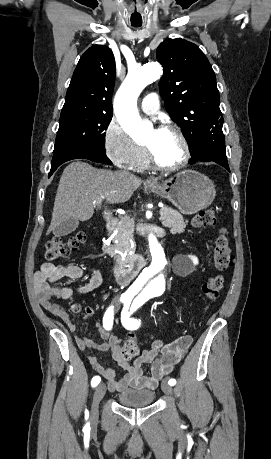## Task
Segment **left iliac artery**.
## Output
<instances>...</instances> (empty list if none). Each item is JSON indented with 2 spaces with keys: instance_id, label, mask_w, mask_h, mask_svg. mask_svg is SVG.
<instances>
[{
  "instance_id": "1",
  "label": "left iliac artery",
  "mask_w": 271,
  "mask_h": 459,
  "mask_svg": "<svg viewBox=\"0 0 271 459\" xmlns=\"http://www.w3.org/2000/svg\"><path fill=\"white\" fill-rule=\"evenodd\" d=\"M137 307L138 306L133 302L131 307H129L127 305H124L123 311L121 312L122 325L128 330H136L140 326V320L138 321L136 319H130L129 318V316H133L134 315L135 309ZM168 384L173 386V385L176 384V380L175 379H170L168 381Z\"/></svg>"
}]
</instances>
